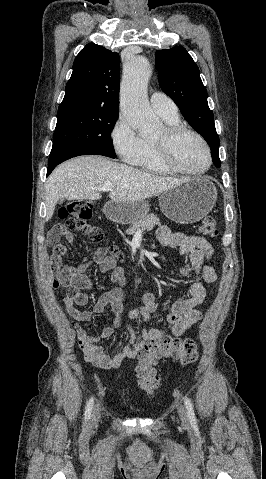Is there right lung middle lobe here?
<instances>
[{"instance_id":"right-lung-middle-lobe-1","label":"right lung middle lobe","mask_w":266,"mask_h":479,"mask_svg":"<svg viewBox=\"0 0 266 479\" xmlns=\"http://www.w3.org/2000/svg\"><path fill=\"white\" fill-rule=\"evenodd\" d=\"M118 116L119 113L110 112L57 114L52 151L67 150L81 155L115 158L111 131Z\"/></svg>"}]
</instances>
